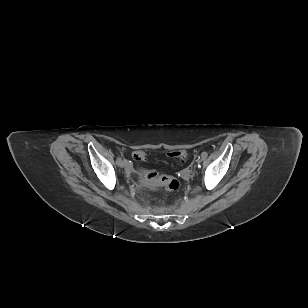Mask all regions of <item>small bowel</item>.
Returning a JSON list of instances; mask_svg holds the SVG:
<instances>
[{
	"label": "small bowel",
	"instance_id": "c3829d8e",
	"mask_svg": "<svg viewBox=\"0 0 308 308\" xmlns=\"http://www.w3.org/2000/svg\"><path fill=\"white\" fill-rule=\"evenodd\" d=\"M128 169L131 170L132 169V166L130 163H128Z\"/></svg>",
	"mask_w": 308,
	"mask_h": 308
}]
</instances>
